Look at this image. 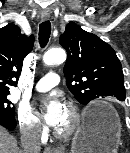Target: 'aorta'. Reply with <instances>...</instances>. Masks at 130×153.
Returning <instances> with one entry per match:
<instances>
[{"label":"aorta","instance_id":"obj_1","mask_svg":"<svg viewBox=\"0 0 130 153\" xmlns=\"http://www.w3.org/2000/svg\"><path fill=\"white\" fill-rule=\"evenodd\" d=\"M65 60L66 53L61 48L50 49L43 56L44 63L50 66L62 64Z\"/></svg>","mask_w":130,"mask_h":153}]
</instances>
